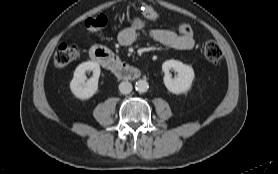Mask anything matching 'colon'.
<instances>
[{
	"instance_id": "colon-1",
	"label": "colon",
	"mask_w": 278,
	"mask_h": 174,
	"mask_svg": "<svg viewBox=\"0 0 278 174\" xmlns=\"http://www.w3.org/2000/svg\"><path fill=\"white\" fill-rule=\"evenodd\" d=\"M143 14L149 20L156 21L159 19L158 13L151 7L144 5L142 7ZM107 24V17L98 15L96 17L88 18L85 21L86 28L91 32H96L104 28ZM177 33L191 37L193 30L188 24H181L177 28ZM222 49L220 45L214 41H208L204 46V56L211 63H218L222 58ZM79 56V48L76 45L61 43L54 54V64L57 67H65L69 65Z\"/></svg>"
}]
</instances>
